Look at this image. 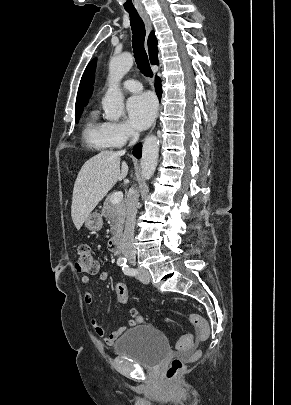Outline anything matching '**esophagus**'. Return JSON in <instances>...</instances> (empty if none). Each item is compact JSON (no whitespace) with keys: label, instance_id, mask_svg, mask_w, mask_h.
<instances>
[{"label":"esophagus","instance_id":"obj_1","mask_svg":"<svg viewBox=\"0 0 291 405\" xmlns=\"http://www.w3.org/2000/svg\"><path fill=\"white\" fill-rule=\"evenodd\" d=\"M139 13H140L142 19L144 20L146 30H147V34H149L150 31L152 30L151 21H150L148 15L144 11H140Z\"/></svg>","mask_w":291,"mask_h":405}]
</instances>
